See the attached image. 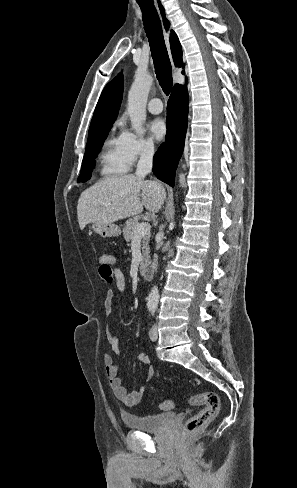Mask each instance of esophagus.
<instances>
[{"instance_id":"1","label":"esophagus","mask_w":297,"mask_h":488,"mask_svg":"<svg viewBox=\"0 0 297 488\" xmlns=\"http://www.w3.org/2000/svg\"><path fill=\"white\" fill-rule=\"evenodd\" d=\"M155 6H156L157 12L159 14L160 20H161V26L163 29V34L165 37L166 45H167V47L169 49V53H170L169 37H170L171 24H170V21L168 19L166 9H165L163 3L160 0H156ZM170 56H171V53H170ZM173 70L176 73L177 68L174 65H173Z\"/></svg>"}]
</instances>
